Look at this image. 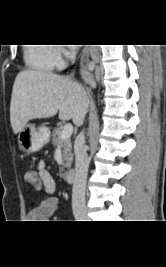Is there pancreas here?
I'll use <instances>...</instances> for the list:
<instances>
[{
    "label": "pancreas",
    "mask_w": 166,
    "mask_h": 267,
    "mask_svg": "<svg viewBox=\"0 0 166 267\" xmlns=\"http://www.w3.org/2000/svg\"><path fill=\"white\" fill-rule=\"evenodd\" d=\"M62 128L57 127L53 130V139L52 142L54 146H59L62 148L63 154V166L60 168L61 176L64 174V168H70L73 161V153H72V143L70 138L61 139Z\"/></svg>",
    "instance_id": "1"
}]
</instances>
